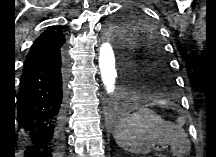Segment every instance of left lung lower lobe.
Returning <instances> with one entry per match:
<instances>
[{
	"instance_id": "1",
	"label": "left lung lower lobe",
	"mask_w": 216,
	"mask_h": 157,
	"mask_svg": "<svg viewBox=\"0 0 216 157\" xmlns=\"http://www.w3.org/2000/svg\"><path fill=\"white\" fill-rule=\"evenodd\" d=\"M122 78H123L122 79L123 80V84H122L123 85V91L124 92H129L128 87H127L126 82H125V75H124L123 72H122ZM111 116H112V119L114 121H118L121 118L122 113H121L120 110H118L117 108L113 107L112 108Z\"/></svg>"
}]
</instances>
